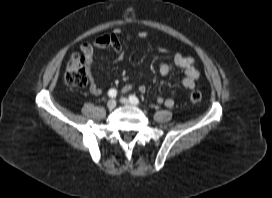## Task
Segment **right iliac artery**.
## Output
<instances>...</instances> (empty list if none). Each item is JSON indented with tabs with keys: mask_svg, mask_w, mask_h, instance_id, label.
Here are the masks:
<instances>
[{
	"mask_svg": "<svg viewBox=\"0 0 272 198\" xmlns=\"http://www.w3.org/2000/svg\"><path fill=\"white\" fill-rule=\"evenodd\" d=\"M109 97L113 98L116 97L117 91L115 89H110L108 92Z\"/></svg>",
	"mask_w": 272,
	"mask_h": 198,
	"instance_id": "1",
	"label": "right iliac artery"
}]
</instances>
